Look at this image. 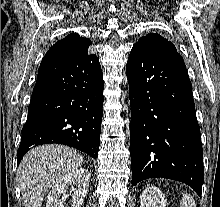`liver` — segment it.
Instances as JSON below:
<instances>
[{
	"label": "liver",
	"mask_w": 220,
	"mask_h": 207,
	"mask_svg": "<svg viewBox=\"0 0 220 207\" xmlns=\"http://www.w3.org/2000/svg\"><path fill=\"white\" fill-rule=\"evenodd\" d=\"M82 164L80 153L66 146L48 144L31 149L18 168L24 206L41 207L44 196L54 183Z\"/></svg>",
	"instance_id": "obj_1"
}]
</instances>
